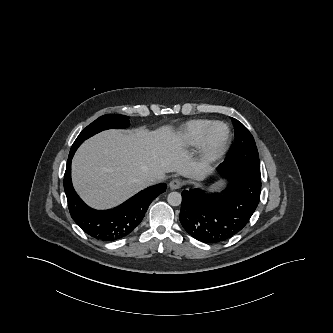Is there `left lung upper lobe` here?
I'll list each match as a JSON object with an SVG mask.
<instances>
[{"instance_id":"obj_1","label":"left lung upper lobe","mask_w":333,"mask_h":333,"mask_svg":"<svg viewBox=\"0 0 333 333\" xmlns=\"http://www.w3.org/2000/svg\"><path fill=\"white\" fill-rule=\"evenodd\" d=\"M235 126V142L227 161L238 163L260 175V162L257 147L249 130L238 120L232 118Z\"/></svg>"}]
</instances>
